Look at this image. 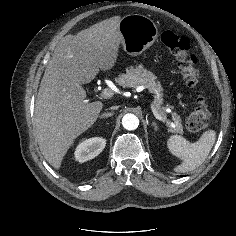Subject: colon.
Instances as JSON below:
<instances>
[{
    "label": "colon",
    "mask_w": 236,
    "mask_h": 236,
    "mask_svg": "<svg viewBox=\"0 0 236 236\" xmlns=\"http://www.w3.org/2000/svg\"><path fill=\"white\" fill-rule=\"evenodd\" d=\"M161 40L171 51L177 60L178 68L186 85L197 90L201 81V75L196 67L197 57L190 50L187 38L172 31H165ZM210 119L208 99L203 94H198L195 100V107L187 120V128L197 132L205 129Z\"/></svg>",
    "instance_id": "colon-1"
}]
</instances>
